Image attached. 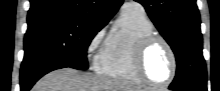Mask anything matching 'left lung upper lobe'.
Instances as JSON below:
<instances>
[{
	"mask_svg": "<svg viewBox=\"0 0 220 91\" xmlns=\"http://www.w3.org/2000/svg\"><path fill=\"white\" fill-rule=\"evenodd\" d=\"M136 1L145 7L176 56V76L169 88L205 91L207 72L202 55L200 15L196 0Z\"/></svg>",
	"mask_w": 220,
	"mask_h": 91,
	"instance_id": "5c2ea615",
	"label": "left lung upper lobe"
}]
</instances>
